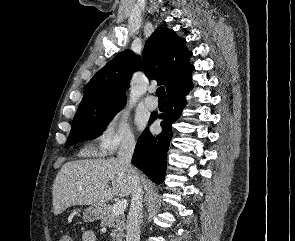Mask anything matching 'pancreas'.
I'll return each instance as SVG.
<instances>
[{
	"instance_id": "cf45deb5",
	"label": "pancreas",
	"mask_w": 295,
	"mask_h": 241,
	"mask_svg": "<svg viewBox=\"0 0 295 241\" xmlns=\"http://www.w3.org/2000/svg\"><path fill=\"white\" fill-rule=\"evenodd\" d=\"M113 206L109 205L105 208L104 214L101 219L102 226H108L113 228L111 236L112 241H123L124 230L126 227L125 224V215L124 214H113Z\"/></svg>"
}]
</instances>
